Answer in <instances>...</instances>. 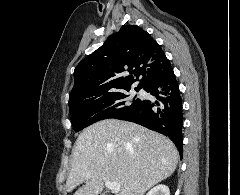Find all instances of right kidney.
I'll return each instance as SVG.
<instances>
[{
	"label": "right kidney",
	"instance_id": "1",
	"mask_svg": "<svg viewBox=\"0 0 240 195\" xmlns=\"http://www.w3.org/2000/svg\"><path fill=\"white\" fill-rule=\"evenodd\" d=\"M146 195H170V189L168 185H164V183H159V185H155L152 187Z\"/></svg>",
	"mask_w": 240,
	"mask_h": 195
}]
</instances>
